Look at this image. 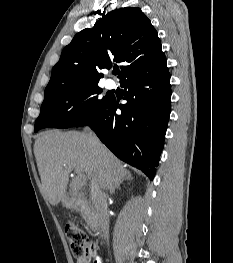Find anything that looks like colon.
Listing matches in <instances>:
<instances>
[{
    "instance_id": "5ec220e1",
    "label": "colon",
    "mask_w": 233,
    "mask_h": 263,
    "mask_svg": "<svg viewBox=\"0 0 233 263\" xmlns=\"http://www.w3.org/2000/svg\"><path fill=\"white\" fill-rule=\"evenodd\" d=\"M65 235L75 258L82 261V263H96L95 244L79 225L72 222L67 223Z\"/></svg>"
}]
</instances>
